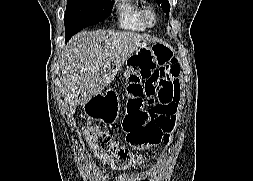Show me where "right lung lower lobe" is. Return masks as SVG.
Returning a JSON list of instances; mask_svg holds the SVG:
<instances>
[{
  "instance_id": "obj_1",
  "label": "right lung lower lobe",
  "mask_w": 253,
  "mask_h": 181,
  "mask_svg": "<svg viewBox=\"0 0 253 181\" xmlns=\"http://www.w3.org/2000/svg\"><path fill=\"white\" fill-rule=\"evenodd\" d=\"M72 37V35H69V36H65V40L66 42Z\"/></svg>"
}]
</instances>
